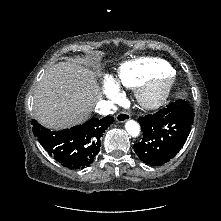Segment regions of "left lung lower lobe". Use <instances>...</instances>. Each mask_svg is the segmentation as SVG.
Listing matches in <instances>:
<instances>
[{
    "mask_svg": "<svg viewBox=\"0 0 221 221\" xmlns=\"http://www.w3.org/2000/svg\"><path fill=\"white\" fill-rule=\"evenodd\" d=\"M194 113L187 101L177 100L155 114L138 118L143 132L135 153L145 163L161 166L183 147L191 131Z\"/></svg>",
    "mask_w": 221,
    "mask_h": 221,
    "instance_id": "1",
    "label": "left lung lower lobe"
}]
</instances>
